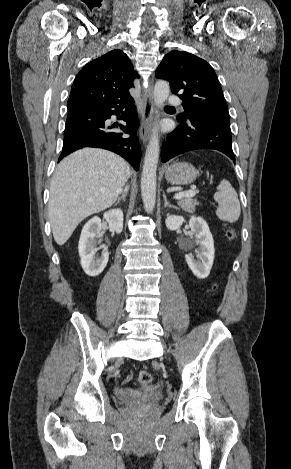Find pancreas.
Here are the masks:
<instances>
[{"mask_svg":"<svg viewBox=\"0 0 291 469\" xmlns=\"http://www.w3.org/2000/svg\"><path fill=\"white\" fill-rule=\"evenodd\" d=\"M178 205L186 212L192 213L195 211V206L199 203L192 198H182L178 201Z\"/></svg>","mask_w":291,"mask_h":469,"instance_id":"cf45deb5","label":"pancreas"}]
</instances>
